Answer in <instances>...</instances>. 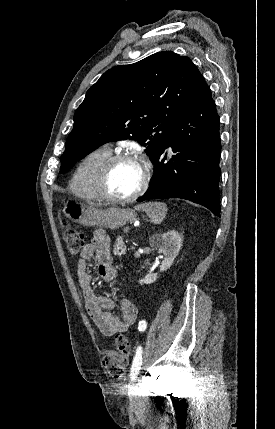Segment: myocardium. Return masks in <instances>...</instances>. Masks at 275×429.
<instances>
[{"label": "myocardium", "mask_w": 275, "mask_h": 429, "mask_svg": "<svg viewBox=\"0 0 275 429\" xmlns=\"http://www.w3.org/2000/svg\"><path fill=\"white\" fill-rule=\"evenodd\" d=\"M134 160L137 161L143 171L142 180L137 190L129 196L117 197L112 195L107 188L109 175L113 167L121 161ZM150 179V166L148 161L139 153L133 151H124L111 154L100 166L95 177V190L98 197L102 200L112 203H129L139 198L147 189Z\"/></svg>", "instance_id": "obj_1"}]
</instances>
